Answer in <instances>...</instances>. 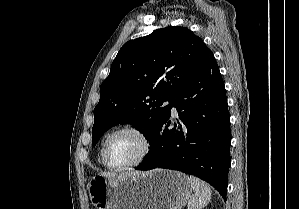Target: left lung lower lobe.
<instances>
[{
	"mask_svg": "<svg viewBox=\"0 0 299 209\" xmlns=\"http://www.w3.org/2000/svg\"><path fill=\"white\" fill-rule=\"evenodd\" d=\"M181 124H171V107ZM230 116L225 86L213 57L172 97L169 112L151 140V150L137 170L156 167L195 175L212 185L226 201L230 158Z\"/></svg>",
	"mask_w": 299,
	"mask_h": 209,
	"instance_id": "left-lung-lower-lobe-1",
	"label": "left lung lower lobe"
}]
</instances>
